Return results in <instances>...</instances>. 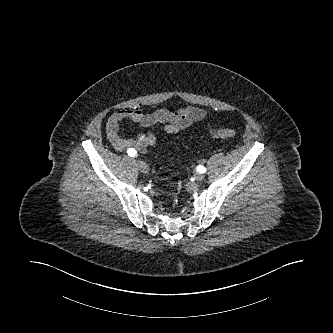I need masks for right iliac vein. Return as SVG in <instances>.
<instances>
[{
	"mask_svg": "<svg viewBox=\"0 0 333 333\" xmlns=\"http://www.w3.org/2000/svg\"><path fill=\"white\" fill-rule=\"evenodd\" d=\"M137 164H138V167L141 170V172H143V173L148 172V166L144 161L138 160Z\"/></svg>",
	"mask_w": 333,
	"mask_h": 333,
	"instance_id": "1",
	"label": "right iliac vein"
}]
</instances>
